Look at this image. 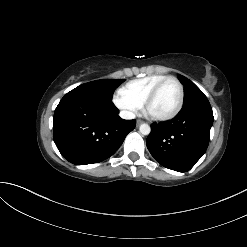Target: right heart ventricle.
Returning a JSON list of instances; mask_svg holds the SVG:
<instances>
[{
	"label": "right heart ventricle",
	"instance_id": "1",
	"mask_svg": "<svg viewBox=\"0 0 247 247\" xmlns=\"http://www.w3.org/2000/svg\"><path fill=\"white\" fill-rule=\"evenodd\" d=\"M165 77L167 76L164 74H153L135 79L128 82L121 91L133 101L142 105L149 92Z\"/></svg>",
	"mask_w": 247,
	"mask_h": 247
}]
</instances>
